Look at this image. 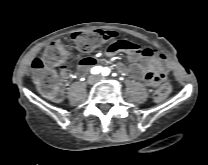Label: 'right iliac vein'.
I'll use <instances>...</instances> for the list:
<instances>
[{
    "label": "right iliac vein",
    "mask_w": 208,
    "mask_h": 165,
    "mask_svg": "<svg viewBox=\"0 0 208 165\" xmlns=\"http://www.w3.org/2000/svg\"><path fill=\"white\" fill-rule=\"evenodd\" d=\"M88 82H89V83H93V82H94V78H93V77H90V78L88 79Z\"/></svg>",
    "instance_id": "right-iliac-vein-1"
}]
</instances>
